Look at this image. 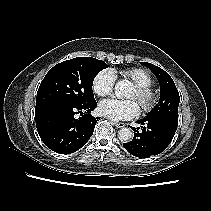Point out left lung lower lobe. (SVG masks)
Segmentation results:
<instances>
[{"instance_id": "0a47b994", "label": "left lung lower lobe", "mask_w": 211, "mask_h": 211, "mask_svg": "<svg viewBox=\"0 0 211 211\" xmlns=\"http://www.w3.org/2000/svg\"><path fill=\"white\" fill-rule=\"evenodd\" d=\"M137 123L142 126L131 127L134 138L129 143H123V146L130 154L140 158L163 152L171 143L178 126L159 118H144Z\"/></svg>"}]
</instances>
